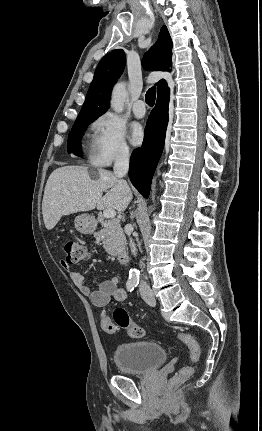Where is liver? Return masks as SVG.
I'll return each instance as SVG.
<instances>
[{
  "instance_id": "1",
  "label": "liver",
  "mask_w": 262,
  "mask_h": 431,
  "mask_svg": "<svg viewBox=\"0 0 262 431\" xmlns=\"http://www.w3.org/2000/svg\"><path fill=\"white\" fill-rule=\"evenodd\" d=\"M132 198L127 182L110 171L97 169V177L92 178L87 167H59L51 173L45 186L42 202L44 224L47 230H51L62 216L95 208L114 209L121 213Z\"/></svg>"
}]
</instances>
